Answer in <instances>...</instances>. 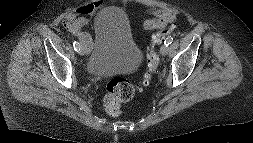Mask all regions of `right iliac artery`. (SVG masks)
<instances>
[{"mask_svg": "<svg viewBox=\"0 0 253 143\" xmlns=\"http://www.w3.org/2000/svg\"><path fill=\"white\" fill-rule=\"evenodd\" d=\"M73 46H74V50H76L78 52V50L80 48V44L77 41H74Z\"/></svg>", "mask_w": 253, "mask_h": 143, "instance_id": "obj_1", "label": "right iliac artery"}]
</instances>
